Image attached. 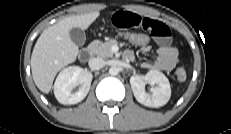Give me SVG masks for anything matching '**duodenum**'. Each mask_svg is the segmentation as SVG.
I'll use <instances>...</instances> for the list:
<instances>
[{
	"label": "duodenum",
	"mask_w": 231,
	"mask_h": 134,
	"mask_svg": "<svg viewBox=\"0 0 231 134\" xmlns=\"http://www.w3.org/2000/svg\"><path fill=\"white\" fill-rule=\"evenodd\" d=\"M91 54H92V48L88 47L80 52L79 59L82 62H85L90 58Z\"/></svg>",
	"instance_id": "1"
}]
</instances>
